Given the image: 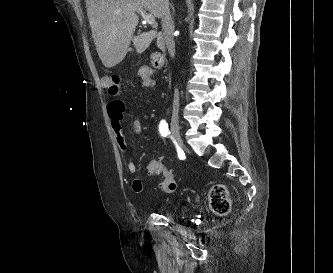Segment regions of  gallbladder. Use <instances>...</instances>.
Masks as SVG:
<instances>
[{"mask_svg": "<svg viewBox=\"0 0 333 273\" xmlns=\"http://www.w3.org/2000/svg\"><path fill=\"white\" fill-rule=\"evenodd\" d=\"M134 45L138 53H142L149 45L150 41L147 40L144 34L138 35L133 38Z\"/></svg>", "mask_w": 333, "mask_h": 273, "instance_id": "1", "label": "gallbladder"}]
</instances>
